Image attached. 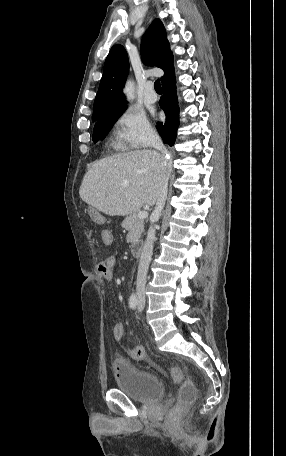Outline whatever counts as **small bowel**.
<instances>
[{
    "label": "small bowel",
    "instance_id": "obj_1",
    "mask_svg": "<svg viewBox=\"0 0 286 456\" xmlns=\"http://www.w3.org/2000/svg\"><path fill=\"white\" fill-rule=\"evenodd\" d=\"M102 240L105 244L112 243V234L108 230H104L101 234ZM117 264V258L115 256H110L100 262L97 266V271L101 277H103L107 282H111L113 278V271ZM113 338L116 341H120L124 335V326L121 322H116L112 329Z\"/></svg>",
    "mask_w": 286,
    "mask_h": 456
}]
</instances>
